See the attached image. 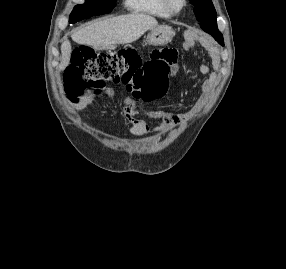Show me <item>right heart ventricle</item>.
<instances>
[{"label": "right heart ventricle", "instance_id": "1", "mask_svg": "<svg viewBox=\"0 0 286 269\" xmlns=\"http://www.w3.org/2000/svg\"><path fill=\"white\" fill-rule=\"evenodd\" d=\"M124 7L137 14H145L159 18H170L162 0H124Z\"/></svg>", "mask_w": 286, "mask_h": 269}]
</instances>
